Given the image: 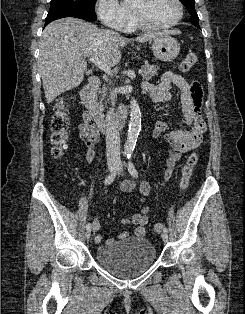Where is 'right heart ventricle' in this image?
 <instances>
[{"label": "right heart ventricle", "mask_w": 245, "mask_h": 314, "mask_svg": "<svg viewBox=\"0 0 245 314\" xmlns=\"http://www.w3.org/2000/svg\"><path fill=\"white\" fill-rule=\"evenodd\" d=\"M135 26H136L135 24H130L128 30L129 31L132 30L133 28H135Z\"/></svg>", "instance_id": "1"}]
</instances>
